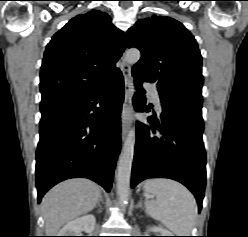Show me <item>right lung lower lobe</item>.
<instances>
[{
	"instance_id": "1",
	"label": "right lung lower lobe",
	"mask_w": 248,
	"mask_h": 237,
	"mask_svg": "<svg viewBox=\"0 0 248 237\" xmlns=\"http://www.w3.org/2000/svg\"><path fill=\"white\" fill-rule=\"evenodd\" d=\"M122 73L84 93L41 102L38 202L55 184L84 177L109 192L120 152Z\"/></svg>"
}]
</instances>
